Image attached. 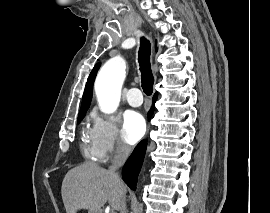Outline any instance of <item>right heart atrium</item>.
Returning a JSON list of instances; mask_svg holds the SVG:
<instances>
[{"label":"right heart atrium","mask_w":270,"mask_h":213,"mask_svg":"<svg viewBox=\"0 0 270 213\" xmlns=\"http://www.w3.org/2000/svg\"><path fill=\"white\" fill-rule=\"evenodd\" d=\"M95 143L99 151L100 160L120 158L128 153V148L119 138V130L113 120L96 116L94 119Z\"/></svg>","instance_id":"obj_1"}]
</instances>
